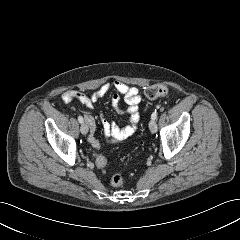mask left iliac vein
Returning <instances> with one entry per match:
<instances>
[{"label":"left iliac vein","mask_w":240,"mask_h":240,"mask_svg":"<svg viewBox=\"0 0 240 240\" xmlns=\"http://www.w3.org/2000/svg\"><path fill=\"white\" fill-rule=\"evenodd\" d=\"M149 129L152 133H155L157 131V124L156 121L151 119L149 122Z\"/></svg>","instance_id":"left-iliac-vein-1"}]
</instances>
